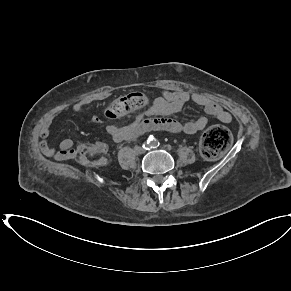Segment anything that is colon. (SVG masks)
<instances>
[{
	"label": "colon",
	"mask_w": 291,
	"mask_h": 291,
	"mask_svg": "<svg viewBox=\"0 0 291 291\" xmlns=\"http://www.w3.org/2000/svg\"><path fill=\"white\" fill-rule=\"evenodd\" d=\"M148 97L140 92L130 93L114 100L106 109L109 119H118L126 114L144 108L148 104ZM232 137L227 128L214 125L208 128L200 141L202 154L209 159L221 156L231 145ZM78 159L82 164L91 166L105 165V152L98 144H83L78 149Z\"/></svg>",
	"instance_id": "5ec220e1"
}]
</instances>
